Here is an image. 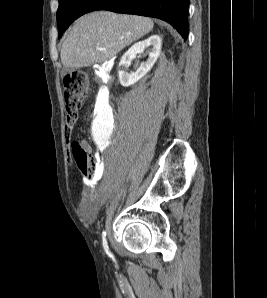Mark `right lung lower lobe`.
<instances>
[{
  "label": "right lung lower lobe",
  "mask_w": 267,
  "mask_h": 298,
  "mask_svg": "<svg viewBox=\"0 0 267 298\" xmlns=\"http://www.w3.org/2000/svg\"><path fill=\"white\" fill-rule=\"evenodd\" d=\"M189 0H99L90 10H108L162 19L187 39Z\"/></svg>",
  "instance_id": "obj_1"
}]
</instances>
